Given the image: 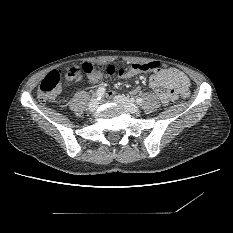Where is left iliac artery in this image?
Segmentation results:
<instances>
[{"label":"left iliac artery","instance_id":"obj_1","mask_svg":"<svg viewBox=\"0 0 233 233\" xmlns=\"http://www.w3.org/2000/svg\"><path fill=\"white\" fill-rule=\"evenodd\" d=\"M136 103L137 104H142L143 103V99L142 98H137L136 99Z\"/></svg>","mask_w":233,"mask_h":233}]
</instances>
